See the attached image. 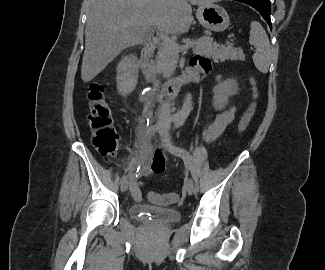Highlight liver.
<instances>
[{
  "label": "liver",
  "instance_id": "liver-1",
  "mask_svg": "<svg viewBox=\"0 0 325 270\" xmlns=\"http://www.w3.org/2000/svg\"><path fill=\"white\" fill-rule=\"evenodd\" d=\"M212 0H88L81 79H94L124 49L157 34H183L193 21L191 5Z\"/></svg>",
  "mask_w": 325,
  "mask_h": 270
}]
</instances>
